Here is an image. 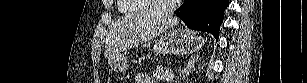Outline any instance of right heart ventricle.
Returning <instances> with one entry per match:
<instances>
[{
	"label": "right heart ventricle",
	"mask_w": 307,
	"mask_h": 83,
	"mask_svg": "<svg viewBox=\"0 0 307 83\" xmlns=\"http://www.w3.org/2000/svg\"><path fill=\"white\" fill-rule=\"evenodd\" d=\"M118 10L122 14H136L149 10V6L145 0H119Z\"/></svg>",
	"instance_id": "right-heart-ventricle-1"
}]
</instances>
